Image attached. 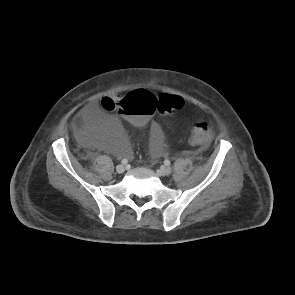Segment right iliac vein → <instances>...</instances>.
<instances>
[{
    "instance_id": "obj_1",
    "label": "right iliac vein",
    "mask_w": 295,
    "mask_h": 295,
    "mask_svg": "<svg viewBox=\"0 0 295 295\" xmlns=\"http://www.w3.org/2000/svg\"><path fill=\"white\" fill-rule=\"evenodd\" d=\"M125 171V166L123 164H120L116 167V172L119 174H122Z\"/></svg>"
}]
</instances>
